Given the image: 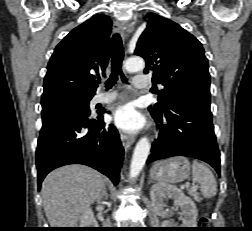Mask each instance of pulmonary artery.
Here are the masks:
<instances>
[{
  "label": "pulmonary artery",
  "instance_id": "e3ab8cb5",
  "mask_svg": "<svg viewBox=\"0 0 252 231\" xmlns=\"http://www.w3.org/2000/svg\"><path fill=\"white\" fill-rule=\"evenodd\" d=\"M133 83L139 89H147L152 86L151 80L144 74H138L134 77ZM117 98L115 92L99 93L94 98V103L107 104Z\"/></svg>",
  "mask_w": 252,
  "mask_h": 231
}]
</instances>
